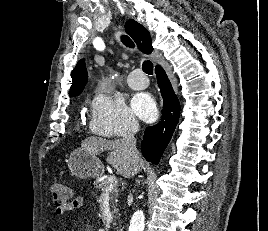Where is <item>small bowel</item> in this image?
<instances>
[{
	"instance_id": "small-bowel-1",
	"label": "small bowel",
	"mask_w": 268,
	"mask_h": 231,
	"mask_svg": "<svg viewBox=\"0 0 268 231\" xmlns=\"http://www.w3.org/2000/svg\"><path fill=\"white\" fill-rule=\"evenodd\" d=\"M84 205V198L82 196L75 197L69 204L66 209L56 208L54 213L56 216L61 217L66 214L67 211H76L82 208Z\"/></svg>"
}]
</instances>
